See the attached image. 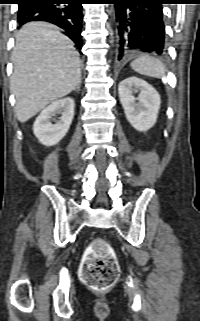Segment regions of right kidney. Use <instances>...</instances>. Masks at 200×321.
<instances>
[{
  "label": "right kidney",
  "mask_w": 200,
  "mask_h": 321,
  "mask_svg": "<svg viewBox=\"0 0 200 321\" xmlns=\"http://www.w3.org/2000/svg\"><path fill=\"white\" fill-rule=\"evenodd\" d=\"M74 107V100L67 97L52 102L40 113L34 122L33 132L43 145H56L66 135L74 117ZM55 113L61 117L52 124L50 119Z\"/></svg>",
  "instance_id": "1"
}]
</instances>
